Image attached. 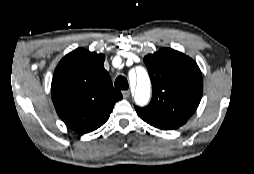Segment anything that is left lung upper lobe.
I'll return each mask as SVG.
<instances>
[{"instance_id": "left-lung-upper-lobe-1", "label": "left lung upper lobe", "mask_w": 254, "mask_h": 174, "mask_svg": "<svg viewBox=\"0 0 254 174\" xmlns=\"http://www.w3.org/2000/svg\"><path fill=\"white\" fill-rule=\"evenodd\" d=\"M153 86V97L148 106L135 107L171 119L186 120L197 109L203 80L196 62L181 52L162 48L144 57Z\"/></svg>"}]
</instances>
